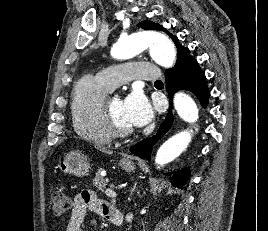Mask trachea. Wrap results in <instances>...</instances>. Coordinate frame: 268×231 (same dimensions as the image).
<instances>
[{
  "label": "trachea",
  "instance_id": "1",
  "mask_svg": "<svg viewBox=\"0 0 268 231\" xmlns=\"http://www.w3.org/2000/svg\"><path fill=\"white\" fill-rule=\"evenodd\" d=\"M156 83H161V81L160 80H157Z\"/></svg>",
  "mask_w": 268,
  "mask_h": 231
}]
</instances>
